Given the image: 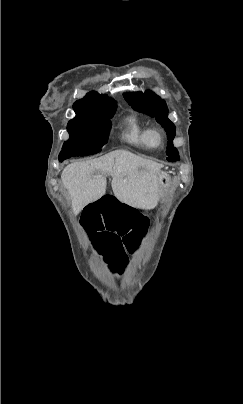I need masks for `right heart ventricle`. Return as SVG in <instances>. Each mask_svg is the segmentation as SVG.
Segmentation results:
<instances>
[{"label": "right heart ventricle", "instance_id": "right-heart-ventricle-1", "mask_svg": "<svg viewBox=\"0 0 243 404\" xmlns=\"http://www.w3.org/2000/svg\"><path fill=\"white\" fill-rule=\"evenodd\" d=\"M149 128L150 127L144 124L137 116L129 115L124 119L120 139L125 145L133 149L155 151L160 145H156L151 141Z\"/></svg>", "mask_w": 243, "mask_h": 404}]
</instances>
